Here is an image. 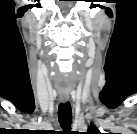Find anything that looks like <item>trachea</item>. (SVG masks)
I'll use <instances>...</instances> for the list:
<instances>
[{"label": "trachea", "instance_id": "1", "mask_svg": "<svg viewBox=\"0 0 137 134\" xmlns=\"http://www.w3.org/2000/svg\"><path fill=\"white\" fill-rule=\"evenodd\" d=\"M58 118L63 130L69 131L72 124V109L69 102L61 103L59 105Z\"/></svg>", "mask_w": 137, "mask_h": 134}]
</instances>
